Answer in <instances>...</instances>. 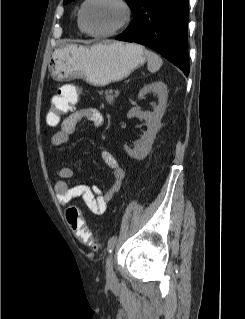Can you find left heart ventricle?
Instances as JSON below:
<instances>
[{
  "instance_id": "b2bd125f",
  "label": "left heart ventricle",
  "mask_w": 245,
  "mask_h": 319,
  "mask_svg": "<svg viewBox=\"0 0 245 319\" xmlns=\"http://www.w3.org/2000/svg\"><path fill=\"white\" fill-rule=\"evenodd\" d=\"M123 18L122 9L107 0L90 3L85 12V25L91 32H106L116 27Z\"/></svg>"
}]
</instances>
